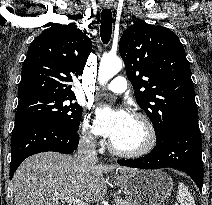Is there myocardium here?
Wrapping results in <instances>:
<instances>
[{"label":"myocardium","instance_id":"1","mask_svg":"<svg viewBox=\"0 0 212 205\" xmlns=\"http://www.w3.org/2000/svg\"><path fill=\"white\" fill-rule=\"evenodd\" d=\"M132 118L141 123L145 131V140L143 144L134 150H121L117 148L112 140L109 142V150L119 157L124 158H140L149 154L155 147L157 142V135L152 121L145 114L134 113Z\"/></svg>","mask_w":212,"mask_h":205}]
</instances>
